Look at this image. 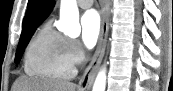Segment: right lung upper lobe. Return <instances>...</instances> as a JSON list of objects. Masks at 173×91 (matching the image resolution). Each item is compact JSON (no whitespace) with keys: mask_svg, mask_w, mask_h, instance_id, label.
I'll return each instance as SVG.
<instances>
[{"mask_svg":"<svg viewBox=\"0 0 173 91\" xmlns=\"http://www.w3.org/2000/svg\"><path fill=\"white\" fill-rule=\"evenodd\" d=\"M55 0H29L22 33L38 27L53 9Z\"/></svg>","mask_w":173,"mask_h":91,"instance_id":"cb5924a9","label":"right lung upper lobe"}]
</instances>
